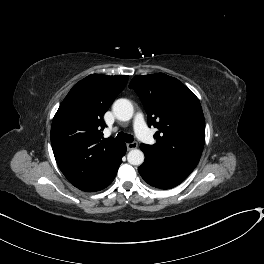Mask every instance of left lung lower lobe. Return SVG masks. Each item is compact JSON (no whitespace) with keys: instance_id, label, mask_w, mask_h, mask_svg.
I'll return each mask as SVG.
<instances>
[{"instance_id":"left-lung-lower-lobe-1","label":"left lung lower lobe","mask_w":264,"mask_h":264,"mask_svg":"<svg viewBox=\"0 0 264 264\" xmlns=\"http://www.w3.org/2000/svg\"><path fill=\"white\" fill-rule=\"evenodd\" d=\"M145 154L144 163L138 168L142 178L151 186L160 189H170L182 183L192 171L164 164L151 154Z\"/></svg>"}]
</instances>
